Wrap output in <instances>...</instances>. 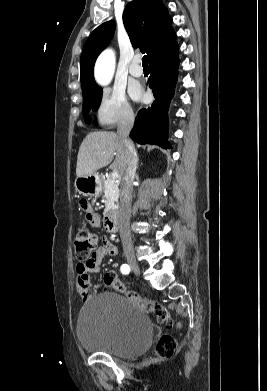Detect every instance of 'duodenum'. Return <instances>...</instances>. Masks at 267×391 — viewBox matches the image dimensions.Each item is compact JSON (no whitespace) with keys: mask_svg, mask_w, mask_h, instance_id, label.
Here are the masks:
<instances>
[{"mask_svg":"<svg viewBox=\"0 0 267 391\" xmlns=\"http://www.w3.org/2000/svg\"><path fill=\"white\" fill-rule=\"evenodd\" d=\"M118 211L116 209L109 210L103 219V226L108 232H115L117 230Z\"/></svg>","mask_w":267,"mask_h":391,"instance_id":"duodenum-1","label":"duodenum"}]
</instances>
